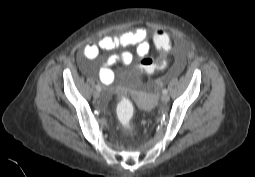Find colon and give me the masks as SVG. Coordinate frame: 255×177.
I'll return each instance as SVG.
<instances>
[{
  "label": "colon",
  "instance_id": "5ec220e1",
  "mask_svg": "<svg viewBox=\"0 0 255 177\" xmlns=\"http://www.w3.org/2000/svg\"><path fill=\"white\" fill-rule=\"evenodd\" d=\"M152 45L157 48L159 56L156 61L151 58L143 57L139 63V69L145 73H152L158 70H165L169 54L171 52V40L165 29H156L151 39ZM134 115V106L131 101L122 97L117 105L116 116L119 125L123 130L132 129V119Z\"/></svg>",
  "mask_w": 255,
  "mask_h": 177
}]
</instances>
